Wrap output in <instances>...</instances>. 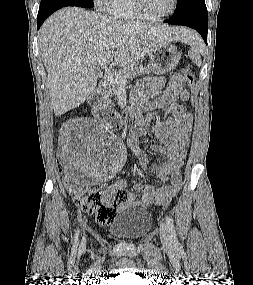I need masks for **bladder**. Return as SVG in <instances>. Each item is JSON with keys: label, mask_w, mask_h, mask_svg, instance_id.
<instances>
[{"label": "bladder", "mask_w": 253, "mask_h": 285, "mask_svg": "<svg viewBox=\"0 0 253 285\" xmlns=\"http://www.w3.org/2000/svg\"><path fill=\"white\" fill-rule=\"evenodd\" d=\"M153 218L149 210L140 207L123 208L109 225V234L120 240H138L148 233Z\"/></svg>", "instance_id": "obj_1"}]
</instances>
